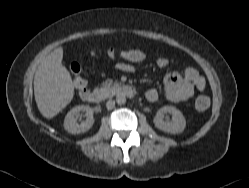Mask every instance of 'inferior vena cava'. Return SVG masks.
Segmentation results:
<instances>
[{
  "label": "inferior vena cava",
  "mask_w": 249,
  "mask_h": 188,
  "mask_svg": "<svg viewBox=\"0 0 249 188\" xmlns=\"http://www.w3.org/2000/svg\"><path fill=\"white\" fill-rule=\"evenodd\" d=\"M106 107H107L108 110H112L115 107V101L112 100V99H109L106 102Z\"/></svg>",
  "instance_id": "obj_1"
}]
</instances>
